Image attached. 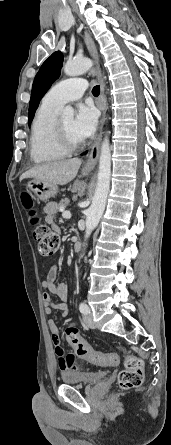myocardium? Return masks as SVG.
<instances>
[{
    "mask_svg": "<svg viewBox=\"0 0 171 445\" xmlns=\"http://www.w3.org/2000/svg\"><path fill=\"white\" fill-rule=\"evenodd\" d=\"M53 134H54L55 141H56L57 145L59 146V148L66 153L75 152V151L79 150L84 144L83 141H80L77 143L72 142L67 137L64 129L61 126L60 120L57 118L55 119V121L53 123Z\"/></svg>",
    "mask_w": 171,
    "mask_h": 445,
    "instance_id": "1",
    "label": "myocardium"
}]
</instances>
